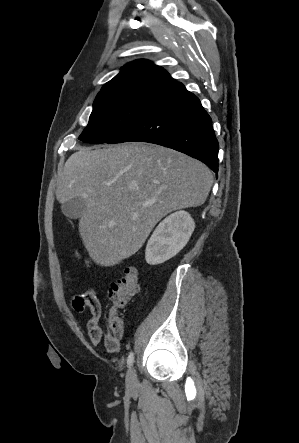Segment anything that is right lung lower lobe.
<instances>
[{"label": "right lung lower lobe", "mask_w": 299, "mask_h": 443, "mask_svg": "<svg viewBox=\"0 0 299 443\" xmlns=\"http://www.w3.org/2000/svg\"><path fill=\"white\" fill-rule=\"evenodd\" d=\"M140 141L183 152L218 171V141L199 99L178 82L107 143Z\"/></svg>", "instance_id": "obj_1"}]
</instances>
